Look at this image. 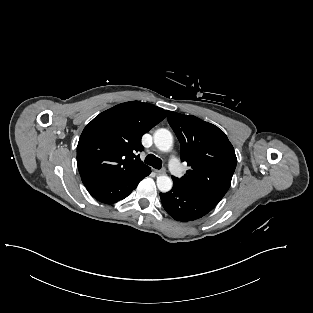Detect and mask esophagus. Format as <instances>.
Listing matches in <instances>:
<instances>
[{
    "instance_id": "34e87169",
    "label": "esophagus",
    "mask_w": 313,
    "mask_h": 313,
    "mask_svg": "<svg viewBox=\"0 0 313 313\" xmlns=\"http://www.w3.org/2000/svg\"><path fill=\"white\" fill-rule=\"evenodd\" d=\"M158 175H164L166 173V169L165 168H162L160 170H156L155 171Z\"/></svg>"
}]
</instances>
